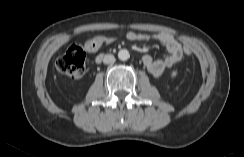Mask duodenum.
Segmentation results:
<instances>
[{
    "label": "duodenum",
    "instance_id": "1",
    "mask_svg": "<svg viewBox=\"0 0 244 157\" xmlns=\"http://www.w3.org/2000/svg\"><path fill=\"white\" fill-rule=\"evenodd\" d=\"M104 57H105V54H100V55H98V56L96 57V61H97L98 63H100V62L103 60Z\"/></svg>",
    "mask_w": 244,
    "mask_h": 157
}]
</instances>
